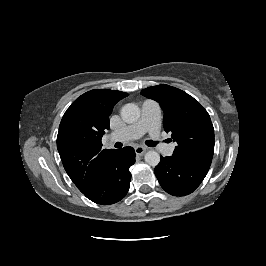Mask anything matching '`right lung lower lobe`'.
Segmentation results:
<instances>
[{
	"label": "right lung lower lobe",
	"mask_w": 266,
	"mask_h": 266,
	"mask_svg": "<svg viewBox=\"0 0 266 266\" xmlns=\"http://www.w3.org/2000/svg\"><path fill=\"white\" fill-rule=\"evenodd\" d=\"M135 162L132 147L115 150L108 158L105 168L100 173L96 184L84 195L91 201L108 205L120 201L130 187L129 167Z\"/></svg>",
	"instance_id": "right-lung-lower-lobe-1"
}]
</instances>
